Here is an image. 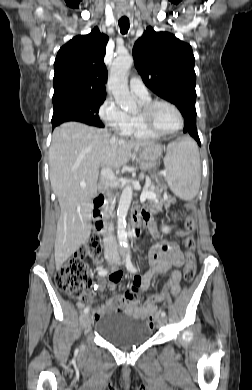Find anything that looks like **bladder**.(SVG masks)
Instances as JSON below:
<instances>
[{
    "mask_svg": "<svg viewBox=\"0 0 252 390\" xmlns=\"http://www.w3.org/2000/svg\"><path fill=\"white\" fill-rule=\"evenodd\" d=\"M94 332L121 349L145 344L151 337V327L144 321L131 317L103 316L95 324Z\"/></svg>",
    "mask_w": 252,
    "mask_h": 390,
    "instance_id": "1",
    "label": "bladder"
}]
</instances>
